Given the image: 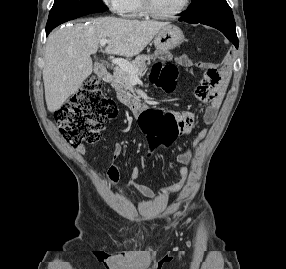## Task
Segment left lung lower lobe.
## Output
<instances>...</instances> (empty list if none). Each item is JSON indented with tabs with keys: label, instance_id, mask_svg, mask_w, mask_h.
Wrapping results in <instances>:
<instances>
[{
	"label": "left lung lower lobe",
	"instance_id": "left-lung-lower-lobe-1",
	"mask_svg": "<svg viewBox=\"0 0 286 269\" xmlns=\"http://www.w3.org/2000/svg\"><path fill=\"white\" fill-rule=\"evenodd\" d=\"M179 21L183 20L179 19ZM198 23H202L220 30L235 45V47L238 48V38L236 35L235 26L223 23H216V22H198Z\"/></svg>",
	"mask_w": 286,
	"mask_h": 269
}]
</instances>
